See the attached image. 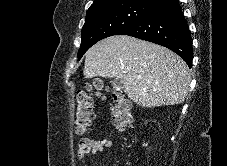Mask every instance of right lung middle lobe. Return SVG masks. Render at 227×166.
<instances>
[{
    "mask_svg": "<svg viewBox=\"0 0 227 166\" xmlns=\"http://www.w3.org/2000/svg\"><path fill=\"white\" fill-rule=\"evenodd\" d=\"M154 8L147 4L128 2L87 12L82 28L78 60L96 42L109 36L118 35Z\"/></svg>",
    "mask_w": 227,
    "mask_h": 166,
    "instance_id": "dd1d6c3e",
    "label": "right lung middle lobe"
}]
</instances>
